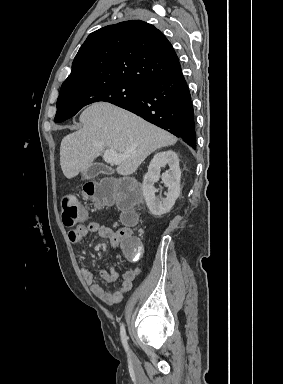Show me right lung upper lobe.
Returning a JSON list of instances; mask_svg holds the SVG:
<instances>
[{
    "label": "right lung upper lobe",
    "mask_w": 283,
    "mask_h": 384,
    "mask_svg": "<svg viewBox=\"0 0 283 384\" xmlns=\"http://www.w3.org/2000/svg\"><path fill=\"white\" fill-rule=\"evenodd\" d=\"M179 71V59L161 31L146 22L131 20L91 33L61 88L116 80L144 87Z\"/></svg>",
    "instance_id": "1"
}]
</instances>
